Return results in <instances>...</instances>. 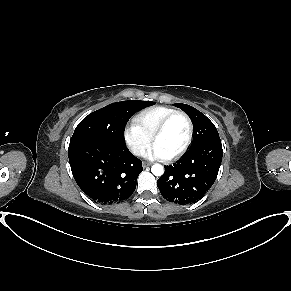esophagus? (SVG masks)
I'll return each mask as SVG.
<instances>
[{"label": "esophagus", "mask_w": 291, "mask_h": 291, "mask_svg": "<svg viewBox=\"0 0 291 291\" xmlns=\"http://www.w3.org/2000/svg\"><path fill=\"white\" fill-rule=\"evenodd\" d=\"M143 167L146 168V167H149L151 166V163H148V162H143L142 163Z\"/></svg>", "instance_id": "obj_1"}]
</instances>
